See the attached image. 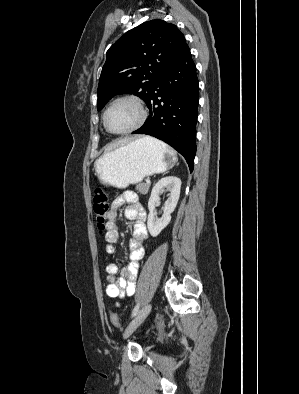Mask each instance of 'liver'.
I'll return each mask as SVG.
<instances>
[{"instance_id":"6515ba94","label":"liver","mask_w":299,"mask_h":394,"mask_svg":"<svg viewBox=\"0 0 299 394\" xmlns=\"http://www.w3.org/2000/svg\"><path fill=\"white\" fill-rule=\"evenodd\" d=\"M130 141V139H125V140H122L121 142H119L118 144H126V143H128Z\"/></svg>"}]
</instances>
